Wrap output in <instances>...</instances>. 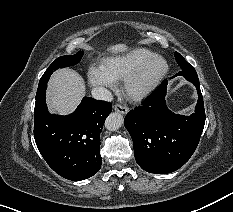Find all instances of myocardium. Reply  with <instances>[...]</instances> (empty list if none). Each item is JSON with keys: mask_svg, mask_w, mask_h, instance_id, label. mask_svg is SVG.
Segmentation results:
<instances>
[{"mask_svg": "<svg viewBox=\"0 0 233 212\" xmlns=\"http://www.w3.org/2000/svg\"><path fill=\"white\" fill-rule=\"evenodd\" d=\"M157 61H160L163 65L161 70L148 83L139 86L138 82L144 72L151 64ZM168 70V62L163 56L155 54L154 56L150 57L139 66H137L134 70H132L124 78L123 89L126 96L133 101H140L145 99L159 86L163 78L166 76Z\"/></svg>", "mask_w": 233, "mask_h": 212, "instance_id": "myocardium-1", "label": "myocardium"}]
</instances>
